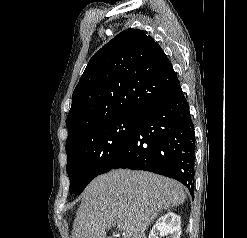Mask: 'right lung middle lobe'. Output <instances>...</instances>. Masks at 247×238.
<instances>
[{
	"mask_svg": "<svg viewBox=\"0 0 247 238\" xmlns=\"http://www.w3.org/2000/svg\"><path fill=\"white\" fill-rule=\"evenodd\" d=\"M140 114H129L99 124L66 145L70 192L80 194L96 176L111 170L132 134Z\"/></svg>",
	"mask_w": 247,
	"mask_h": 238,
	"instance_id": "obj_1",
	"label": "right lung middle lobe"
}]
</instances>
